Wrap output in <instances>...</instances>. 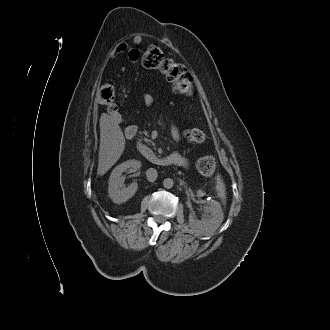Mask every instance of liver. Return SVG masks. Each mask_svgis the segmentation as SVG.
<instances>
[{
  "label": "liver",
  "instance_id": "6515ba94",
  "mask_svg": "<svg viewBox=\"0 0 330 330\" xmlns=\"http://www.w3.org/2000/svg\"><path fill=\"white\" fill-rule=\"evenodd\" d=\"M100 146L97 174L104 175L121 157L125 137L118 123L107 114L100 117Z\"/></svg>",
  "mask_w": 330,
  "mask_h": 330
}]
</instances>
